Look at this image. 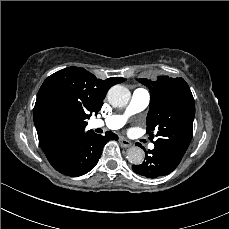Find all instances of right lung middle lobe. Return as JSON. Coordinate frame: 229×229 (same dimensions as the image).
<instances>
[{
  "mask_svg": "<svg viewBox=\"0 0 229 229\" xmlns=\"http://www.w3.org/2000/svg\"><path fill=\"white\" fill-rule=\"evenodd\" d=\"M50 116L57 124H66L75 118V112L68 106L55 104L50 109Z\"/></svg>",
  "mask_w": 229,
  "mask_h": 229,
  "instance_id": "right-lung-middle-lobe-1",
  "label": "right lung middle lobe"
}]
</instances>
